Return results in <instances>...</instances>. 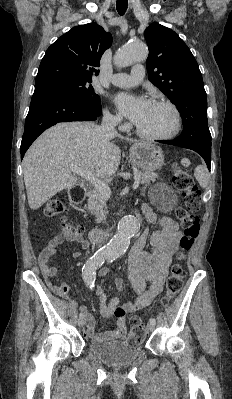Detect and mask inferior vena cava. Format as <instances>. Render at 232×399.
<instances>
[{
  "label": "inferior vena cava",
  "mask_w": 232,
  "mask_h": 399,
  "mask_svg": "<svg viewBox=\"0 0 232 399\" xmlns=\"http://www.w3.org/2000/svg\"><path fill=\"white\" fill-rule=\"evenodd\" d=\"M117 124L118 120H113L112 116H109V114H104L103 120L101 122V128L102 130H105L109 136H115V126H117ZM105 235H107V233H105Z\"/></svg>",
  "instance_id": "1"
}]
</instances>
